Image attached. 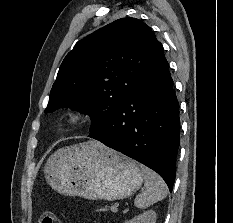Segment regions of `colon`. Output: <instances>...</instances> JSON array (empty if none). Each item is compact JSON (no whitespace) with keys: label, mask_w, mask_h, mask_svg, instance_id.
<instances>
[{"label":"colon","mask_w":233,"mask_h":223,"mask_svg":"<svg viewBox=\"0 0 233 223\" xmlns=\"http://www.w3.org/2000/svg\"><path fill=\"white\" fill-rule=\"evenodd\" d=\"M39 223H62V220L51 212H45L40 217Z\"/></svg>","instance_id":"1"}]
</instances>
